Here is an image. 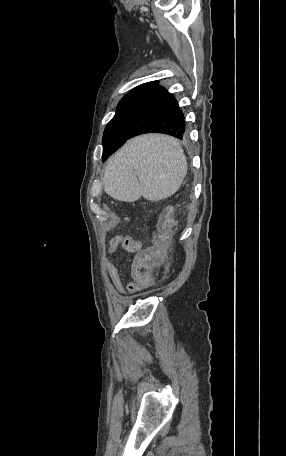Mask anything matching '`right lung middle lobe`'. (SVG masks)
Wrapping results in <instances>:
<instances>
[{
  "label": "right lung middle lobe",
  "instance_id": "obj_1",
  "mask_svg": "<svg viewBox=\"0 0 286 456\" xmlns=\"http://www.w3.org/2000/svg\"><path fill=\"white\" fill-rule=\"evenodd\" d=\"M129 136V130L123 116V102L120 101L117 107V112L113 119L108 123L103 135V157L105 161L112 153H114Z\"/></svg>",
  "mask_w": 286,
  "mask_h": 456
}]
</instances>
